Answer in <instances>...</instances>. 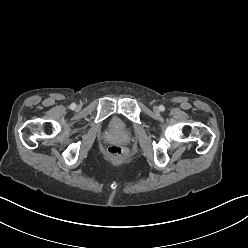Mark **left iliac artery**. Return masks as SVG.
Segmentation results:
<instances>
[{
    "instance_id": "44dca946",
    "label": "left iliac artery",
    "mask_w": 248,
    "mask_h": 248,
    "mask_svg": "<svg viewBox=\"0 0 248 248\" xmlns=\"http://www.w3.org/2000/svg\"><path fill=\"white\" fill-rule=\"evenodd\" d=\"M159 109H160L161 111H164V110H165V107H164L163 105H160V106H159Z\"/></svg>"
}]
</instances>
